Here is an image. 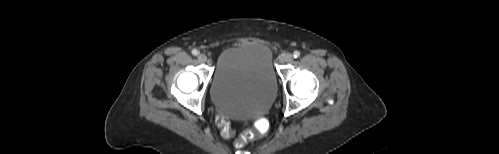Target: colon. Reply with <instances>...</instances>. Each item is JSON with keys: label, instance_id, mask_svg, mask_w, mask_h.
<instances>
[{"label": "colon", "instance_id": "5ec220e1", "mask_svg": "<svg viewBox=\"0 0 499 154\" xmlns=\"http://www.w3.org/2000/svg\"><path fill=\"white\" fill-rule=\"evenodd\" d=\"M215 122L217 126L221 129L222 135L226 138L233 137V132L231 130L230 121L226 116L218 115L216 116ZM268 130V124L266 122H260L256 125V131L259 134H265ZM255 137V134L251 131H245L238 134L235 137V145L237 147H243L249 140Z\"/></svg>", "mask_w": 499, "mask_h": 154}]
</instances>
